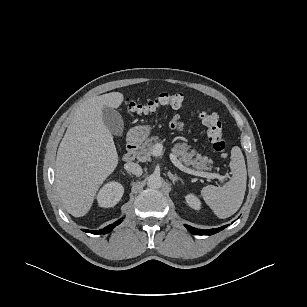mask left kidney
Masks as SVG:
<instances>
[{
    "label": "left kidney",
    "instance_id": "obj_1",
    "mask_svg": "<svg viewBox=\"0 0 307 307\" xmlns=\"http://www.w3.org/2000/svg\"><path fill=\"white\" fill-rule=\"evenodd\" d=\"M185 199H186L187 204L191 208H193L195 210L201 209V201L199 200V198L196 195L190 193V194L186 195Z\"/></svg>",
    "mask_w": 307,
    "mask_h": 307
}]
</instances>
